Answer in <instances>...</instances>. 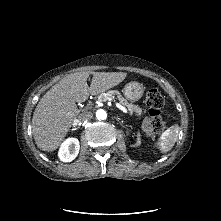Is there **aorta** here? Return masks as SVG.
Here are the masks:
<instances>
[{"mask_svg": "<svg viewBox=\"0 0 221 221\" xmlns=\"http://www.w3.org/2000/svg\"><path fill=\"white\" fill-rule=\"evenodd\" d=\"M96 117L98 120H105L107 118V113L103 109H99L96 112Z\"/></svg>", "mask_w": 221, "mask_h": 221, "instance_id": "aorta-1", "label": "aorta"}]
</instances>
